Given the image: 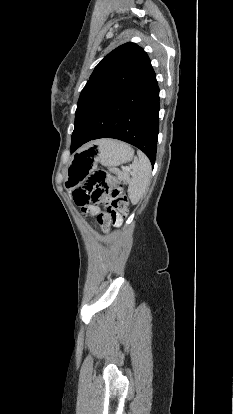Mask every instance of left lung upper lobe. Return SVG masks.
<instances>
[{
	"instance_id": "1",
	"label": "left lung upper lobe",
	"mask_w": 233,
	"mask_h": 414,
	"mask_svg": "<svg viewBox=\"0 0 233 414\" xmlns=\"http://www.w3.org/2000/svg\"><path fill=\"white\" fill-rule=\"evenodd\" d=\"M151 69L147 53L136 44L126 43L114 49L95 67L83 88L76 118L94 103L126 89Z\"/></svg>"
}]
</instances>
